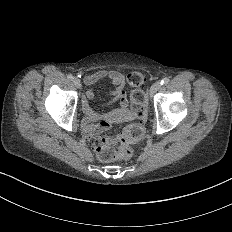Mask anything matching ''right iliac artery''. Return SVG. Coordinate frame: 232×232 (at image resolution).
<instances>
[{
    "label": "right iliac artery",
    "instance_id": "obj_1",
    "mask_svg": "<svg viewBox=\"0 0 232 232\" xmlns=\"http://www.w3.org/2000/svg\"><path fill=\"white\" fill-rule=\"evenodd\" d=\"M67 78H68L69 80H71V81L74 79V77H73L72 74H69V75L67 76Z\"/></svg>",
    "mask_w": 232,
    "mask_h": 232
}]
</instances>
